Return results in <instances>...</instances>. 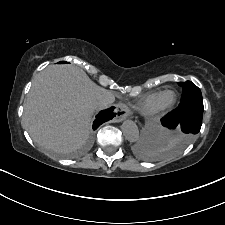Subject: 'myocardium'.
<instances>
[{"mask_svg":"<svg viewBox=\"0 0 225 225\" xmlns=\"http://www.w3.org/2000/svg\"><path fill=\"white\" fill-rule=\"evenodd\" d=\"M167 95H171L172 96L171 99L166 100ZM176 100L177 94L175 91L166 90L161 92L157 103L155 104L153 110L151 111V114L158 115L164 113L176 103Z\"/></svg>","mask_w":225,"mask_h":225,"instance_id":"obj_1","label":"myocardium"}]
</instances>
